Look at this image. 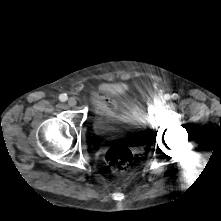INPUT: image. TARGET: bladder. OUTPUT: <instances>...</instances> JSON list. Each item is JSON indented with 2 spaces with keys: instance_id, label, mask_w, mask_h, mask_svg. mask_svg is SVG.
Wrapping results in <instances>:
<instances>
[{
  "instance_id": "31cf9c89",
  "label": "bladder",
  "mask_w": 221,
  "mask_h": 221,
  "mask_svg": "<svg viewBox=\"0 0 221 221\" xmlns=\"http://www.w3.org/2000/svg\"><path fill=\"white\" fill-rule=\"evenodd\" d=\"M117 102L124 111L116 109L100 111L94 109L93 127L100 136H112L119 134H141L146 129V124L134 103L121 95L117 96Z\"/></svg>"
}]
</instances>
